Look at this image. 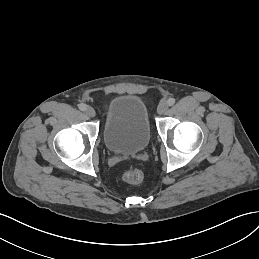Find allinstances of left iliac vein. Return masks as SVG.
Here are the masks:
<instances>
[{"label": "left iliac vein", "mask_w": 259, "mask_h": 259, "mask_svg": "<svg viewBox=\"0 0 259 259\" xmlns=\"http://www.w3.org/2000/svg\"><path fill=\"white\" fill-rule=\"evenodd\" d=\"M168 110V105L165 102H162L158 105L157 112L162 115L165 114Z\"/></svg>", "instance_id": "1"}]
</instances>
